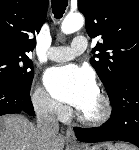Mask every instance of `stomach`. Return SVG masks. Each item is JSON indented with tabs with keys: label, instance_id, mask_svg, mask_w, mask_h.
<instances>
[{
	"label": "stomach",
	"instance_id": "obj_1",
	"mask_svg": "<svg viewBox=\"0 0 139 150\" xmlns=\"http://www.w3.org/2000/svg\"><path fill=\"white\" fill-rule=\"evenodd\" d=\"M86 150H117V149L116 146H113L110 143H102L92 146L91 148H87Z\"/></svg>",
	"mask_w": 139,
	"mask_h": 150
}]
</instances>
